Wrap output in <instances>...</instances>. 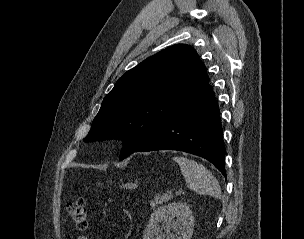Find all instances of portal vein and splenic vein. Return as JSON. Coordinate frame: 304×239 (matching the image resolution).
Returning a JSON list of instances; mask_svg holds the SVG:
<instances>
[{"instance_id":"1","label":"portal vein and splenic vein","mask_w":304,"mask_h":239,"mask_svg":"<svg viewBox=\"0 0 304 239\" xmlns=\"http://www.w3.org/2000/svg\"><path fill=\"white\" fill-rule=\"evenodd\" d=\"M183 192V190H178L175 192V195H180Z\"/></svg>"}]
</instances>
